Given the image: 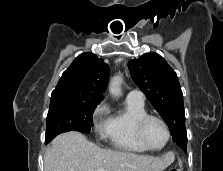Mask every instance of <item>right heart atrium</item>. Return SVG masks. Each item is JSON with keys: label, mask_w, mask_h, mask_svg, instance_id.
I'll use <instances>...</instances> for the list:
<instances>
[{"label": "right heart atrium", "mask_w": 223, "mask_h": 171, "mask_svg": "<svg viewBox=\"0 0 223 171\" xmlns=\"http://www.w3.org/2000/svg\"><path fill=\"white\" fill-rule=\"evenodd\" d=\"M109 108L106 102H101L93 111L94 129L99 134H105L108 128V114Z\"/></svg>", "instance_id": "obj_1"}]
</instances>
